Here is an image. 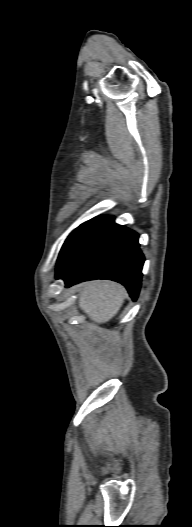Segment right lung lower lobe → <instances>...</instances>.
Listing matches in <instances>:
<instances>
[{"label": "right lung lower lobe", "instance_id": "right-lung-lower-lobe-1", "mask_svg": "<svg viewBox=\"0 0 192 527\" xmlns=\"http://www.w3.org/2000/svg\"><path fill=\"white\" fill-rule=\"evenodd\" d=\"M139 235L114 223L111 216L95 217L76 228L59 253L56 278L66 287L93 279L123 284L133 300L139 294L144 256Z\"/></svg>", "mask_w": 192, "mask_h": 527}]
</instances>
